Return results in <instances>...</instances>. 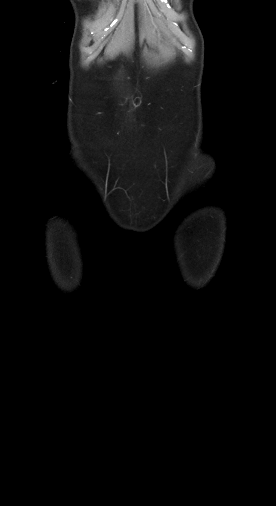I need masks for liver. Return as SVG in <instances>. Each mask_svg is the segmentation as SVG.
<instances>
[{"label": "liver", "mask_w": 276, "mask_h": 506, "mask_svg": "<svg viewBox=\"0 0 276 506\" xmlns=\"http://www.w3.org/2000/svg\"><path fill=\"white\" fill-rule=\"evenodd\" d=\"M161 29H164V27H163V26H161Z\"/></svg>", "instance_id": "liver-1"}]
</instances>
